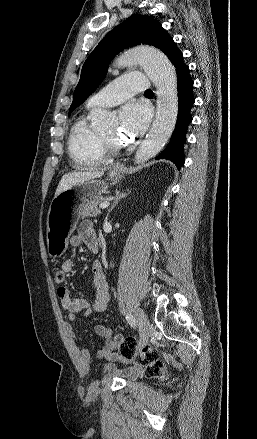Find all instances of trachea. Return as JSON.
Returning <instances> with one entry per match:
<instances>
[{
    "instance_id": "trachea-1",
    "label": "trachea",
    "mask_w": 257,
    "mask_h": 439,
    "mask_svg": "<svg viewBox=\"0 0 257 439\" xmlns=\"http://www.w3.org/2000/svg\"><path fill=\"white\" fill-rule=\"evenodd\" d=\"M145 93H152V91L151 90H147V91H145Z\"/></svg>"
}]
</instances>
